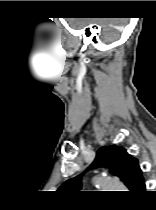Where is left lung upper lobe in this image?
Masks as SVG:
<instances>
[{
  "mask_svg": "<svg viewBox=\"0 0 156 210\" xmlns=\"http://www.w3.org/2000/svg\"><path fill=\"white\" fill-rule=\"evenodd\" d=\"M100 166L109 167L110 173L118 177L132 192H141L145 189L139 161L131 156L125 148L116 145L101 147L89 169ZM81 177L82 174L67 180L59 188V191H79L81 189Z\"/></svg>",
  "mask_w": 156,
  "mask_h": 210,
  "instance_id": "left-lung-upper-lobe-1",
  "label": "left lung upper lobe"
}]
</instances>
